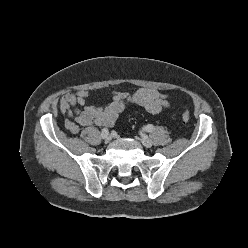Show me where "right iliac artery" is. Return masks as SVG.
Segmentation results:
<instances>
[{
  "mask_svg": "<svg viewBox=\"0 0 248 248\" xmlns=\"http://www.w3.org/2000/svg\"><path fill=\"white\" fill-rule=\"evenodd\" d=\"M109 134V130L107 128L102 129L101 136L105 138Z\"/></svg>",
  "mask_w": 248,
  "mask_h": 248,
  "instance_id": "obj_1",
  "label": "right iliac artery"
}]
</instances>
